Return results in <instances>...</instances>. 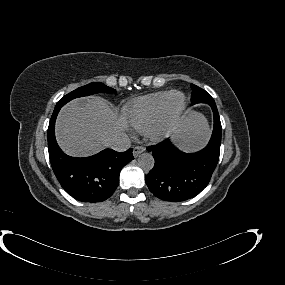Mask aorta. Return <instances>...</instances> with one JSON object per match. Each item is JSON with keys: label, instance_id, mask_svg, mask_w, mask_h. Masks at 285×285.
Returning a JSON list of instances; mask_svg holds the SVG:
<instances>
[{"label": "aorta", "instance_id": "762f6f07", "mask_svg": "<svg viewBox=\"0 0 285 285\" xmlns=\"http://www.w3.org/2000/svg\"><path fill=\"white\" fill-rule=\"evenodd\" d=\"M155 160L150 153H143L138 158V165L144 171H150L154 167Z\"/></svg>", "mask_w": 285, "mask_h": 285}]
</instances>
